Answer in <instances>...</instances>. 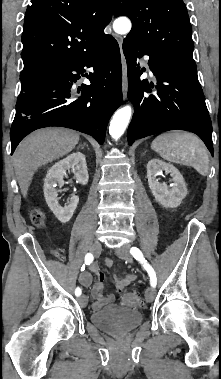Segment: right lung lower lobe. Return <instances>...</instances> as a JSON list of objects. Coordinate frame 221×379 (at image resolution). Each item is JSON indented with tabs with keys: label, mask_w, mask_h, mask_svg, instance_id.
Segmentation results:
<instances>
[{
	"label": "right lung lower lobe",
	"mask_w": 221,
	"mask_h": 379,
	"mask_svg": "<svg viewBox=\"0 0 221 379\" xmlns=\"http://www.w3.org/2000/svg\"><path fill=\"white\" fill-rule=\"evenodd\" d=\"M85 74L91 85H72ZM122 102V72L117 41L108 36L90 53L54 64L21 79L11 127L12 151L30 132L48 126L78 130L103 144L108 121Z\"/></svg>",
	"instance_id": "1"
}]
</instances>
